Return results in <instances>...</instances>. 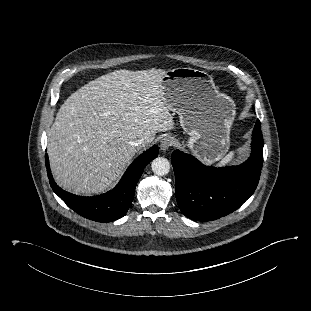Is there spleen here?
<instances>
[{
    "label": "spleen",
    "mask_w": 311,
    "mask_h": 311,
    "mask_svg": "<svg viewBox=\"0 0 311 311\" xmlns=\"http://www.w3.org/2000/svg\"><path fill=\"white\" fill-rule=\"evenodd\" d=\"M235 157V153L234 152H230L229 154H227L218 164L217 166H225L228 165L230 162L233 161Z\"/></svg>",
    "instance_id": "obj_1"
}]
</instances>
